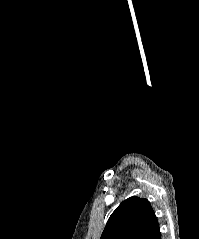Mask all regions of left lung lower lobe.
I'll list each match as a JSON object with an SVG mask.
<instances>
[{
    "label": "left lung lower lobe",
    "mask_w": 199,
    "mask_h": 239,
    "mask_svg": "<svg viewBox=\"0 0 199 239\" xmlns=\"http://www.w3.org/2000/svg\"><path fill=\"white\" fill-rule=\"evenodd\" d=\"M154 239H161L160 230H159V232L157 233V235H156V237Z\"/></svg>",
    "instance_id": "1"
}]
</instances>
